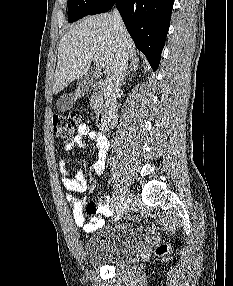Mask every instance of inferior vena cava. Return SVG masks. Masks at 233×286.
I'll use <instances>...</instances> for the list:
<instances>
[{
  "label": "inferior vena cava",
  "instance_id": "602c4592",
  "mask_svg": "<svg viewBox=\"0 0 233 286\" xmlns=\"http://www.w3.org/2000/svg\"><path fill=\"white\" fill-rule=\"evenodd\" d=\"M114 28L122 31L124 28L123 21L117 9L113 11ZM119 50L116 53L113 67L111 69L110 76L105 81V98L108 105V121L110 126L114 127L117 123V94L122 86L127 65H128V54L126 49L122 45V38H118Z\"/></svg>",
  "mask_w": 233,
  "mask_h": 286
}]
</instances>
